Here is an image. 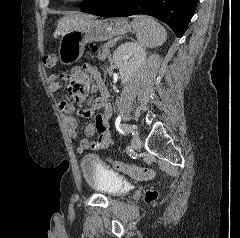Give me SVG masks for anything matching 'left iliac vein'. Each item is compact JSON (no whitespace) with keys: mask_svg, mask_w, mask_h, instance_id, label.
I'll return each instance as SVG.
<instances>
[{"mask_svg":"<svg viewBox=\"0 0 240 238\" xmlns=\"http://www.w3.org/2000/svg\"><path fill=\"white\" fill-rule=\"evenodd\" d=\"M132 146L135 150H139L142 146V141L137 131L134 132V136L132 138Z\"/></svg>","mask_w":240,"mask_h":238,"instance_id":"4c4485c4","label":"left iliac vein"}]
</instances>
